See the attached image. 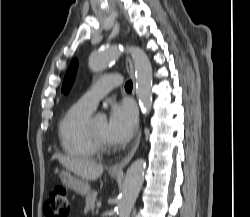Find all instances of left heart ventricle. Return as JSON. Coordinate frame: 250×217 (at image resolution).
Returning <instances> with one entry per match:
<instances>
[{
  "label": "left heart ventricle",
  "instance_id": "b2bd125f",
  "mask_svg": "<svg viewBox=\"0 0 250 217\" xmlns=\"http://www.w3.org/2000/svg\"><path fill=\"white\" fill-rule=\"evenodd\" d=\"M92 126L99 137L104 141L111 143L107 136V121L105 118H93Z\"/></svg>",
  "mask_w": 250,
  "mask_h": 217
}]
</instances>
